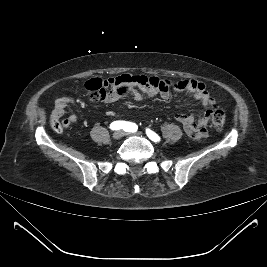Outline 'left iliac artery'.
Here are the masks:
<instances>
[{"label":"left iliac artery","mask_w":267,"mask_h":267,"mask_svg":"<svg viewBox=\"0 0 267 267\" xmlns=\"http://www.w3.org/2000/svg\"><path fill=\"white\" fill-rule=\"evenodd\" d=\"M146 133H147V136H148L151 140H153V141H155V142L160 141V137H159L155 132H153L152 130H150V129H146Z\"/></svg>","instance_id":"1"}]
</instances>
